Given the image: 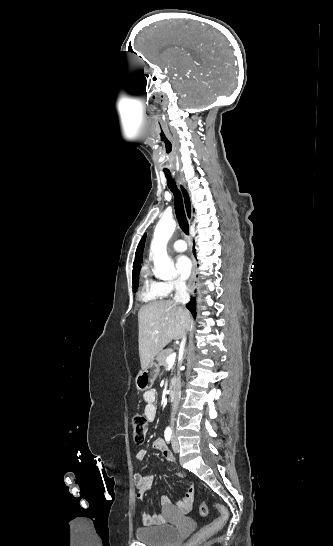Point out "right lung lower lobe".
I'll use <instances>...</instances> for the list:
<instances>
[{"instance_id":"right-lung-lower-lobe-1","label":"right lung lower lobe","mask_w":333,"mask_h":546,"mask_svg":"<svg viewBox=\"0 0 333 546\" xmlns=\"http://www.w3.org/2000/svg\"><path fill=\"white\" fill-rule=\"evenodd\" d=\"M193 253L195 255V249H193ZM187 308L191 311V313L193 314V316L195 317L196 315V306H195V298H193L191 300V302H189L187 305Z\"/></svg>"}]
</instances>
